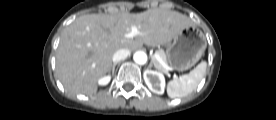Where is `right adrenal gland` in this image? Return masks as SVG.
Returning a JSON list of instances; mask_svg holds the SVG:
<instances>
[{
	"instance_id": "2a0ac1e0",
	"label": "right adrenal gland",
	"mask_w": 276,
	"mask_h": 120,
	"mask_svg": "<svg viewBox=\"0 0 276 120\" xmlns=\"http://www.w3.org/2000/svg\"><path fill=\"white\" fill-rule=\"evenodd\" d=\"M116 65H117V63H114V64L112 65V75H114V71H115Z\"/></svg>"
}]
</instances>
